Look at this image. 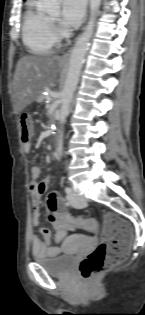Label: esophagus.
Here are the masks:
<instances>
[{"label":"esophagus","instance_id":"obj_1","mask_svg":"<svg viewBox=\"0 0 145 315\" xmlns=\"http://www.w3.org/2000/svg\"><path fill=\"white\" fill-rule=\"evenodd\" d=\"M86 19H87V17H86ZM71 51H72V48H70L65 54H63V56L61 57V61H63V62L68 61L70 58V55H71Z\"/></svg>","mask_w":145,"mask_h":315}]
</instances>
